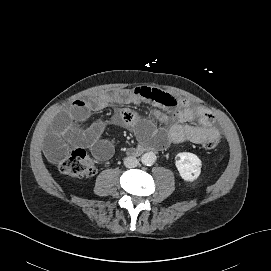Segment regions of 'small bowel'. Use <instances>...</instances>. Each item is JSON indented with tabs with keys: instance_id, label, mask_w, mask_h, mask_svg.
<instances>
[{
	"instance_id": "obj_1",
	"label": "small bowel",
	"mask_w": 271,
	"mask_h": 271,
	"mask_svg": "<svg viewBox=\"0 0 271 271\" xmlns=\"http://www.w3.org/2000/svg\"><path fill=\"white\" fill-rule=\"evenodd\" d=\"M127 104L151 105L155 122L123 108L108 120L97 121L84 130L73 126V122L86 121L92 112ZM158 109H167L171 114L166 116ZM194 121L197 123L194 124ZM108 125L132 127L141 141L157 148L185 141L201 144L208 136L219 134L213 115L205 109L160 89L137 86L74 100L69 109L54 120L52 131L45 141V153L52 162L58 163L66 152L67 143H71L89 148L100 161L107 160L114 153L112 143L102 138ZM163 125L167 126L165 131Z\"/></svg>"
}]
</instances>
